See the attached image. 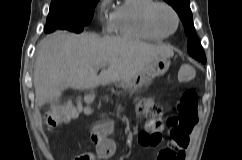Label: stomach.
I'll use <instances>...</instances> for the list:
<instances>
[{"label": "stomach", "mask_w": 242, "mask_h": 160, "mask_svg": "<svg viewBox=\"0 0 242 160\" xmlns=\"http://www.w3.org/2000/svg\"><path fill=\"white\" fill-rule=\"evenodd\" d=\"M169 66L170 61L167 59L155 61L146 70L134 76L132 79L118 83V86L130 93L136 92L144 87L147 88L156 77L164 75L169 69Z\"/></svg>", "instance_id": "obj_1"}]
</instances>
